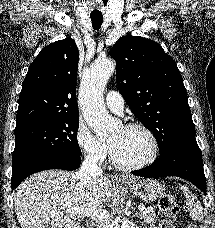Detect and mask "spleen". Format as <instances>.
I'll return each instance as SVG.
<instances>
[{"label": "spleen", "instance_id": "spleen-1", "mask_svg": "<svg viewBox=\"0 0 215 228\" xmlns=\"http://www.w3.org/2000/svg\"><path fill=\"white\" fill-rule=\"evenodd\" d=\"M179 188L182 190V192H184L186 206L190 208L192 218H195V220H201L203 212L200 202H198L197 198H195L194 194H192L188 188H185V186H179Z\"/></svg>", "mask_w": 215, "mask_h": 228}]
</instances>
